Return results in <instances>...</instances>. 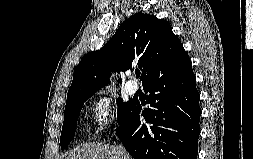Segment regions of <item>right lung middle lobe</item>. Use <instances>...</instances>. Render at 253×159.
I'll list each match as a JSON object with an SVG mask.
<instances>
[{
    "instance_id": "1",
    "label": "right lung middle lobe",
    "mask_w": 253,
    "mask_h": 159,
    "mask_svg": "<svg viewBox=\"0 0 253 159\" xmlns=\"http://www.w3.org/2000/svg\"><path fill=\"white\" fill-rule=\"evenodd\" d=\"M92 95L80 97L74 99L66 104L64 111V122L60 137L61 149L67 147V145L73 140L77 125V120L80 115L83 103ZM117 120L119 125L124 121L126 114L132 107L133 102L128 101L123 103L120 98L117 99Z\"/></svg>"
}]
</instances>
